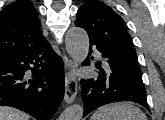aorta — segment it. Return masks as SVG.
Wrapping results in <instances>:
<instances>
[{
  "instance_id": "aorta-1",
  "label": "aorta",
  "mask_w": 165,
  "mask_h": 120,
  "mask_svg": "<svg viewBox=\"0 0 165 120\" xmlns=\"http://www.w3.org/2000/svg\"><path fill=\"white\" fill-rule=\"evenodd\" d=\"M65 44L66 50L73 60L76 62L85 60L89 50V37L84 29L70 28L66 34ZM83 111V106L71 105L61 114L59 120H81Z\"/></svg>"
}]
</instances>
